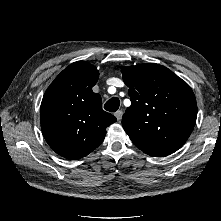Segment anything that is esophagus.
Listing matches in <instances>:
<instances>
[{"mask_svg": "<svg viewBox=\"0 0 221 221\" xmlns=\"http://www.w3.org/2000/svg\"><path fill=\"white\" fill-rule=\"evenodd\" d=\"M114 115L116 116L117 120L119 121L121 119L122 112L121 111H117Z\"/></svg>", "mask_w": 221, "mask_h": 221, "instance_id": "34e87169", "label": "esophagus"}]
</instances>
